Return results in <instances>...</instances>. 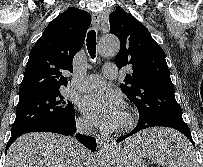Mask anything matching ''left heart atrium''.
I'll return each instance as SVG.
<instances>
[{
  "label": "left heart atrium",
  "instance_id": "left-heart-atrium-1",
  "mask_svg": "<svg viewBox=\"0 0 203 167\" xmlns=\"http://www.w3.org/2000/svg\"><path fill=\"white\" fill-rule=\"evenodd\" d=\"M80 107L87 118L102 128L118 126L124 117V105L121 98L111 92H98L85 96Z\"/></svg>",
  "mask_w": 203,
  "mask_h": 167
}]
</instances>
